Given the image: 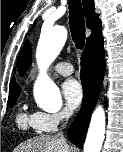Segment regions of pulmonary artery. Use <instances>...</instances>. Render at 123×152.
<instances>
[{
	"label": "pulmonary artery",
	"mask_w": 123,
	"mask_h": 152,
	"mask_svg": "<svg viewBox=\"0 0 123 152\" xmlns=\"http://www.w3.org/2000/svg\"><path fill=\"white\" fill-rule=\"evenodd\" d=\"M53 70L58 74L67 76L72 74L73 66L67 62H58L54 65Z\"/></svg>",
	"instance_id": "pulmonary-artery-1"
}]
</instances>
